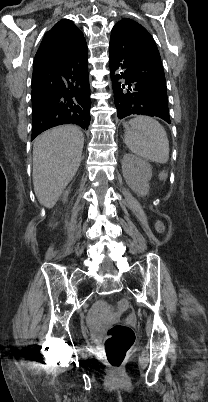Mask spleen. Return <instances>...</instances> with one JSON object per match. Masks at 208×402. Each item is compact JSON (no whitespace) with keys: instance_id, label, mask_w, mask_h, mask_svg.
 Instances as JSON below:
<instances>
[{"instance_id":"3e777b00","label":"spleen","mask_w":208,"mask_h":402,"mask_svg":"<svg viewBox=\"0 0 208 402\" xmlns=\"http://www.w3.org/2000/svg\"><path fill=\"white\" fill-rule=\"evenodd\" d=\"M129 124L131 128L125 132L124 140L127 148L143 160L166 164L169 142L163 126L149 116H136Z\"/></svg>"}]
</instances>
